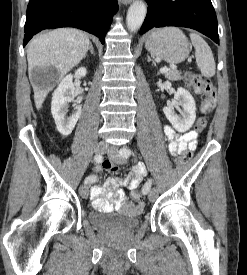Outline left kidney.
Here are the masks:
<instances>
[{"mask_svg":"<svg viewBox=\"0 0 247 275\" xmlns=\"http://www.w3.org/2000/svg\"><path fill=\"white\" fill-rule=\"evenodd\" d=\"M174 107H182L181 115H177ZM163 112L175 130L188 131L196 119V104L192 95L184 88H178L172 103L163 108Z\"/></svg>","mask_w":247,"mask_h":275,"instance_id":"obj_1","label":"left kidney"}]
</instances>
